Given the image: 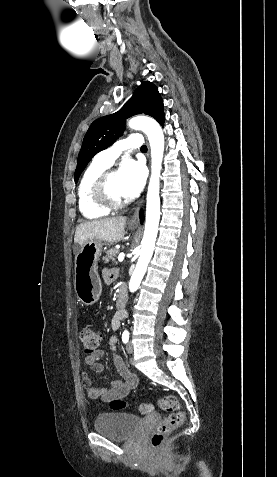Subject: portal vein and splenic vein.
Here are the masks:
<instances>
[{
  "label": "portal vein and splenic vein",
  "mask_w": 277,
  "mask_h": 477,
  "mask_svg": "<svg viewBox=\"0 0 277 477\" xmlns=\"http://www.w3.org/2000/svg\"><path fill=\"white\" fill-rule=\"evenodd\" d=\"M125 258V253L124 252H120L119 255H118V261L119 262H122Z\"/></svg>",
  "instance_id": "obj_1"
}]
</instances>
